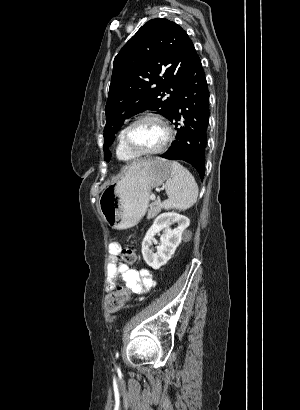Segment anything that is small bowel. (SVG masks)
Instances as JSON below:
<instances>
[{
  "instance_id": "small-bowel-1",
  "label": "small bowel",
  "mask_w": 300,
  "mask_h": 410,
  "mask_svg": "<svg viewBox=\"0 0 300 410\" xmlns=\"http://www.w3.org/2000/svg\"><path fill=\"white\" fill-rule=\"evenodd\" d=\"M120 248L121 246L119 243H112L109 246L106 289L110 290L118 281H123L133 293H146L153 285L152 274L147 269L135 270L128 265L119 262L117 255L120 252Z\"/></svg>"
}]
</instances>
